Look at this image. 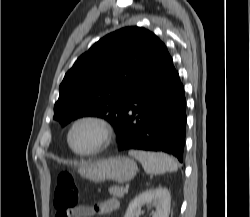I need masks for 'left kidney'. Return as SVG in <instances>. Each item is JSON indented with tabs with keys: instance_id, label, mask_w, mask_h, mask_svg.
<instances>
[{
	"instance_id": "obj_1",
	"label": "left kidney",
	"mask_w": 250,
	"mask_h": 217,
	"mask_svg": "<svg viewBox=\"0 0 250 217\" xmlns=\"http://www.w3.org/2000/svg\"><path fill=\"white\" fill-rule=\"evenodd\" d=\"M144 204L155 206L152 217H169L171 204L170 192L162 187L142 192L130 202L124 217H139L141 207Z\"/></svg>"
}]
</instances>
